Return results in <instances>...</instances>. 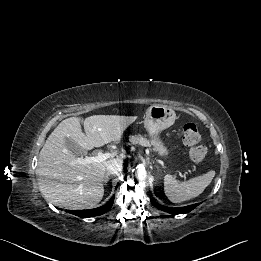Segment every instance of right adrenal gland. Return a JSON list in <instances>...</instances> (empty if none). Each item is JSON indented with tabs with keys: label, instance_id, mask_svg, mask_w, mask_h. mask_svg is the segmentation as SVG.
<instances>
[{
	"label": "right adrenal gland",
	"instance_id": "obj_1",
	"mask_svg": "<svg viewBox=\"0 0 261 261\" xmlns=\"http://www.w3.org/2000/svg\"><path fill=\"white\" fill-rule=\"evenodd\" d=\"M109 176H110V174H106V176L104 177L105 184H107V182L109 181Z\"/></svg>",
	"mask_w": 261,
	"mask_h": 261
}]
</instances>
